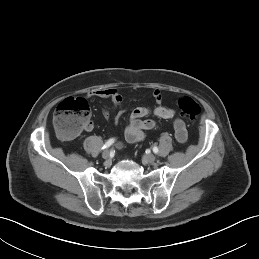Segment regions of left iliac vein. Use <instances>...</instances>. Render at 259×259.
<instances>
[{
    "label": "left iliac vein",
    "mask_w": 259,
    "mask_h": 259,
    "mask_svg": "<svg viewBox=\"0 0 259 259\" xmlns=\"http://www.w3.org/2000/svg\"><path fill=\"white\" fill-rule=\"evenodd\" d=\"M144 161L147 162V163H152L156 160V157L154 154H147L144 156Z\"/></svg>",
    "instance_id": "1"
}]
</instances>
